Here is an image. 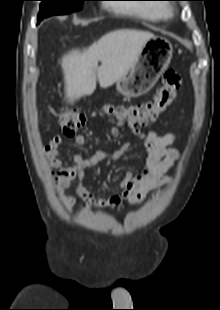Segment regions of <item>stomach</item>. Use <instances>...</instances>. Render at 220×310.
Segmentation results:
<instances>
[{
  "mask_svg": "<svg viewBox=\"0 0 220 310\" xmlns=\"http://www.w3.org/2000/svg\"><path fill=\"white\" fill-rule=\"evenodd\" d=\"M172 53V45L166 38L149 39L132 67L116 81L117 91L130 98L150 91L169 66Z\"/></svg>",
  "mask_w": 220,
  "mask_h": 310,
  "instance_id": "stomach-1",
  "label": "stomach"
}]
</instances>
